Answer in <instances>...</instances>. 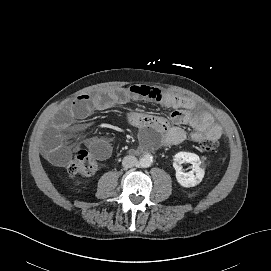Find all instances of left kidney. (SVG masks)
I'll use <instances>...</instances> for the list:
<instances>
[{"instance_id":"5707ae66","label":"left kidney","mask_w":271,"mask_h":271,"mask_svg":"<svg viewBox=\"0 0 271 271\" xmlns=\"http://www.w3.org/2000/svg\"><path fill=\"white\" fill-rule=\"evenodd\" d=\"M188 162L192 164V171L184 173L181 164ZM201 160L195 153L178 152L173 158V167L176 170L177 182L183 187H194L204 178L205 171L201 167Z\"/></svg>"}]
</instances>
